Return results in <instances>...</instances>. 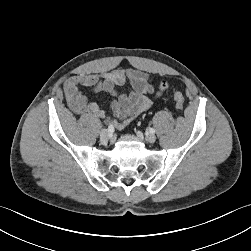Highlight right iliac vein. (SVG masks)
Listing matches in <instances>:
<instances>
[{"label": "right iliac vein", "instance_id": "obj_1", "mask_svg": "<svg viewBox=\"0 0 251 251\" xmlns=\"http://www.w3.org/2000/svg\"><path fill=\"white\" fill-rule=\"evenodd\" d=\"M111 137V133L107 129H103L100 133V140L102 142H107Z\"/></svg>", "mask_w": 251, "mask_h": 251}]
</instances>
